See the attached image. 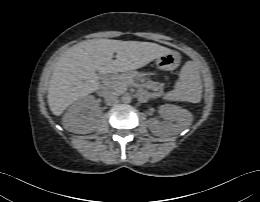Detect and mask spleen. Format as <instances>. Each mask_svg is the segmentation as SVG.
Instances as JSON below:
<instances>
[{"mask_svg":"<svg viewBox=\"0 0 260 202\" xmlns=\"http://www.w3.org/2000/svg\"><path fill=\"white\" fill-rule=\"evenodd\" d=\"M180 82L165 99L198 103L201 100L202 84L194 62H187L181 69Z\"/></svg>","mask_w":260,"mask_h":202,"instance_id":"1","label":"spleen"}]
</instances>
